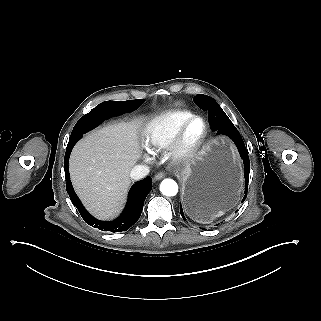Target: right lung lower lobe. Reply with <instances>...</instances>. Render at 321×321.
Returning <instances> with one entry per match:
<instances>
[{"label": "right lung lower lobe", "mask_w": 321, "mask_h": 321, "mask_svg": "<svg viewBox=\"0 0 321 321\" xmlns=\"http://www.w3.org/2000/svg\"><path fill=\"white\" fill-rule=\"evenodd\" d=\"M136 108L133 104H109L100 107L98 110L94 112V115L98 119L95 124H100L104 120L118 116L127 112L134 111ZM90 125L81 129L80 131L71 134L69 143L66 148L65 158H64V170L66 176V190L70 196L72 203L76 206L78 211L80 212L83 220L93 226L94 228H98L103 231L110 232H122L128 230L134 223L139 219L144 201L148 193L152 189V178L146 177L145 179L135 183L129 191L128 201L126 207L122 214L115 220L111 222L100 221L92 217L86 209L83 207L81 201L77 197L72 183L70 181L68 162L70 153L78 140H80L84 133L93 129L92 127L95 125ZM97 125V126H98ZM95 128V127H94Z\"/></svg>", "instance_id": "1"}]
</instances>
